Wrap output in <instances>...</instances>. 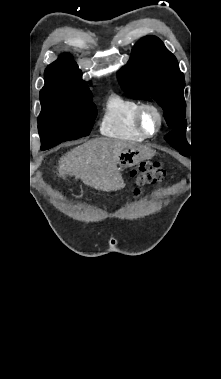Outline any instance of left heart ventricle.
<instances>
[{"label": "left heart ventricle", "instance_id": "b2bd125f", "mask_svg": "<svg viewBox=\"0 0 221 379\" xmlns=\"http://www.w3.org/2000/svg\"><path fill=\"white\" fill-rule=\"evenodd\" d=\"M145 125L149 131H153L156 127V119L152 113H147L145 117Z\"/></svg>", "mask_w": 221, "mask_h": 379}]
</instances>
